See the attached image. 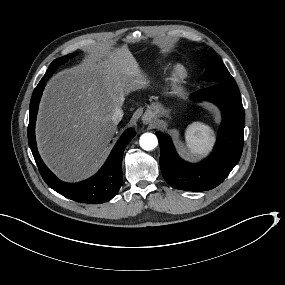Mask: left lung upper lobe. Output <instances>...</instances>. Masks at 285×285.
<instances>
[{"mask_svg":"<svg viewBox=\"0 0 285 285\" xmlns=\"http://www.w3.org/2000/svg\"><path fill=\"white\" fill-rule=\"evenodd\" d=\"M202 79L214 83H235L234 78L231 76L225 65L217 57L214 50L211 48L208 52L206 62V71Z\"/></svg>","mask_w":285,"mask_h":285,"instance_id":"obj_1","label":"left lung upper lobe"}]
</instances>
